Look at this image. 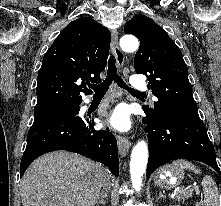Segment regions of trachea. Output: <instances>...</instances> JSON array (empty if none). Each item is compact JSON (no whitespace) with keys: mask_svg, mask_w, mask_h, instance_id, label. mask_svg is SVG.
<instances>
[{"mask_svg":"<svg viewBox=\"0 0 221 206\" xmlns=\"http://www.w3.org/2000/svg\"><path fill=\"white\" fill-rule=\"evenodd\" d=\"M113 81L117 83V85L120 86L121 88H124L130 92L142 93L126 85V83L122 80V78L117 73L116 61L113 57H110L108 61V72H107L106 79L98 85L92 84V85H89V87L94 90L96 97H101L105 95V93L108 91V88Z\"/></svg>","mask_w":221,"mask_h":206,"instance_id":"1","label":"trachea"}]
</instances>
